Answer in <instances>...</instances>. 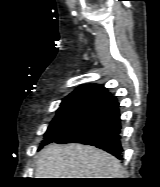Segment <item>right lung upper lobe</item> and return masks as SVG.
<instances>
[{"label": "right lung upper lobe", "instance_id": "1", "mask_svg": "<svg viewBox=\"0 0 160 187\" xmlns=\"http://www.w3.org/2000/svg\"><path fill=\"white\" fill-rule=\"evenodd\" d=\"M111 97L107 89L99 84L80 85L63 99L61 106L73 104L99 105Z\"/></svg>", "mask_w": 160, "mask_h": 187}]
</instances>
